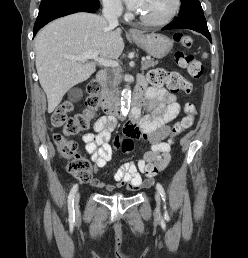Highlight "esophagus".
<instances>
[{
	"instance_id": "34e87169",
	"label": "esophagus",
	"mask_w": 248,
	"mask_h": 258,
	"mask_svg": "<svg viewBox=\"0 0 248 258\" xmlns=\"http://www.w3.org/2000/svg\"><path fill=\"white\" fill-rule=\"evenodd\" d=\"M129 34L136 35V34H138V32L135 29H130Z\"/></svg>"
}]
</instances>
